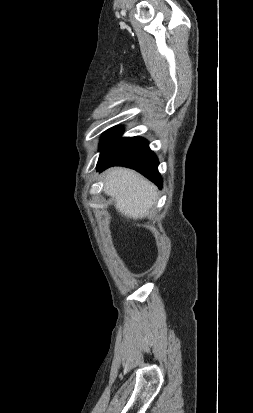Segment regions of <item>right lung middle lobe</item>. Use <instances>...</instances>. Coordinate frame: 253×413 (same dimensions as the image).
<instances>
[{
    "label": "right lung middle lobe",
    "instance_id": "right-lung-middle-lobe-1",
    "mask_svg": "<svg viewBox=\"0 0 253 413\" xmlns=\"http://www.w3.org/2000/svg\"><path fill=\"white\" fill-rule=\"evenodd\" d=\"M122 130L118 127L112 128L106 132L100 142L99 150L101 151L100 158L107 156L111 151H113L117 146L124 142L128 137H121Z\"/></svg>",
    "mask_w": 253,
    "mask_h": 413
}]
</instances>
